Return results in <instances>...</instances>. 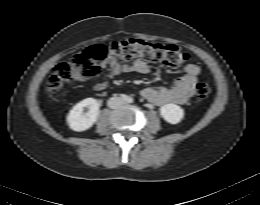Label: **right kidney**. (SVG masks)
I'll return each instance as SVG.
<instances>
[{
  "mask_svg": "<svg viewBox=\"0 0 260 205\" xmlns=\"http://www.w3.org/2000/svg\"><path fill=\"white\" fill-rule=\"evenodd\" d=\"M84 107L88 112H83ZM99 115V104L96 99L87 98L77 103L67 115V123L73 131L82 132L92 127Z\"/></svg>",
  "mask_w": 260,
  "mask_h": 205,
  "instance_id": "1",
  "label": "right kidney"
}]
</instances>
